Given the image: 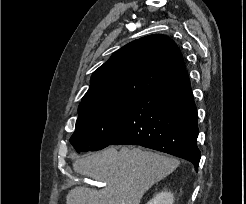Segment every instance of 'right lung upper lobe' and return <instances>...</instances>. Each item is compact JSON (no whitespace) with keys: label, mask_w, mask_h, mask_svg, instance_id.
Returning <instances> with one entry per match:
<instances>
[{"label":"right lung upper lobe","mask_w":246,"mask_h":204,"mask_svg":"<svg viewBox=\"0 0 246 204\" xmlns=\"http://www.w3.org/2000/svg\"><path fill=\"white\" fill-rule=\"evenodd\" d=\"M185 71L178 46L166 35L135 40L115 53L92 75L81 103L140 96Z\"/></svg>","instance_id":"cb5924a9"}]
</instances>
